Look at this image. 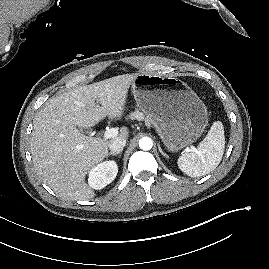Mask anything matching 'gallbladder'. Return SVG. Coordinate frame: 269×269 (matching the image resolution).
<instances>
[{"instance_id": "1", "label": "gallbladder", "mask_w": 269, "mask_h": 269, "mask_svg": "<svg viewBox=\"0 0 269 269\" xmlns=\"http://www.w3.org/2000/svg\"><path fill=\"white\" fill-rule=\"evenodd\" d=\"M80 130L84 133H87V134L91 133V129H89V128H80Z\"/></svg>"}]
</instances>
